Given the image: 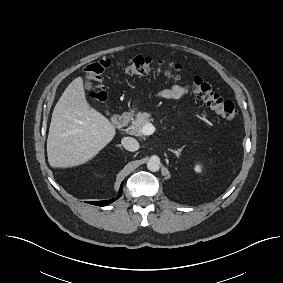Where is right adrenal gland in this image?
Returning a JSON list of instances; mask_svg holds the SVG:
<instances>
[{
  "mask_svg": "<svg viewBox=\"0 0 283 283\" xmlns=\"http://www.w3.org/2000/svg\"><path fill=\"white\" fill-rule=\"evenodd\" d=\"M118 147H120L122 149V146L121 145H118Z\"/></svg>",
  "mask_w": 283,
  "mask_h": 283,
  "instance_id": "2a0ac1e0",
  "label": "right adrenal gland"
}]
</instances>
